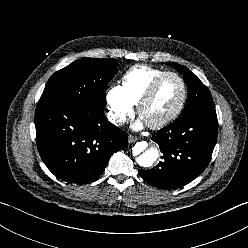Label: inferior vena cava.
Returning <instances> with one entry per match:
<instances>
[{
  "mask_svg": "<svg viewBox=\"0 0 248 248\" xmlns=\"http://www.w3.org/2000/svg\"><path fill=\"white\" fill-rule=\"evenodd\" d=\"M108 120L113 124L121 125L122 123L125 122V117L122 115L109 114Z\"/></svg>",
  "mask_w": 248,
  "mask_h": 248,
  "instance_id": "obj_1",
  "label": "inferior vena cava"
}]
</instances>
